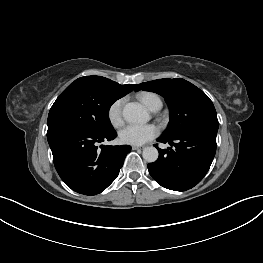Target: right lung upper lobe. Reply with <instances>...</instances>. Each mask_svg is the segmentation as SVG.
<instances>
[{"instance_id":"cb5924a9","label":"right lung upper lobe","mask_w":263,"mask_h":263,"mask_svg":"<svg viewBox=\"0 0 263 263\" xmlns=\"http://www.w3.org/2000/svg\"><path fill=\"white\" fill-rule=\"evenodd\" d=\"M75 81H85L90 82L95 85H98L110 93L114 94L115 96L121 98L131 92L137 85L136 84H127V85H120L110 79L101 76H87L81 77Z\"/></svg>"}]
</instances>
